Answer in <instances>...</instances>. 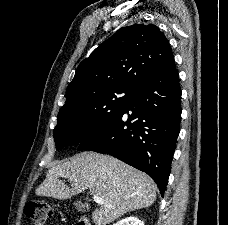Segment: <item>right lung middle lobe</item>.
Wrapping results in <instances>:
<instances>
[{"label":"right lung middle lobe","mask_w":228,"mask_h":225,"mask_svg":"<svg viewBox=\"0 0 228 225\" xmlns=\"http://www.w3.org/2000/svg\"><path fill=\"white\" fill-rule=\"evenodd\" d=\"M135 89L112 85L65 104L58 113L54 140L58 149L81 143L125 105Z\"/></svg>","instance_id":"obj_1"}]
</instances>
